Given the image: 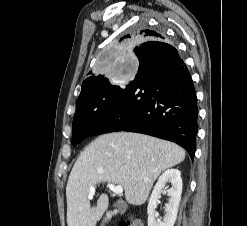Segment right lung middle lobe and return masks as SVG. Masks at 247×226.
<instances>
[{
	"mask_svg": "<svg viewBox=\"0 0 247 226\" xmlns=\"http://www.w3.org/2000/svg\"><path fill=\"white\" fill-rule=\"evenodd\" d=\"M100 79L96 87L78 97L73 119L72 145L92 135L123 92L120 86H110L109 78Z\"/></svg>",
	"mask_w": 247,
	"mask_h": 226,
	"instance_id": "1",
	"label": "right lung middle lobe"
}]
</instances>
